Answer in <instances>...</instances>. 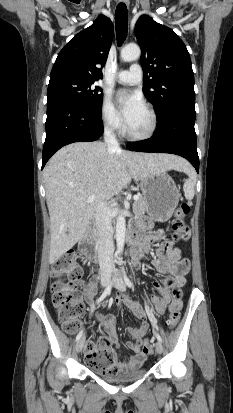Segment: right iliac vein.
<instances>
[{
	"label": "right iliac vein",
	"mask_w": 233,
	"mask_h": 413,
	"mask_svg": "<svg viewBox=\"0 0 233 413\" xmlns=\"http://www.w3.org/2000/svg\"><path fill=\"white\" fill-rule=\"evenodd\" d=\"M103 286H107L109 283V276L104 277L103 279ZM84 342H85V337H82L81 339H79V341L76 344V351L79 353L82 351L83 346H84Z\"/></svg>",
	"instance_id": "1"
}]
</instances>
